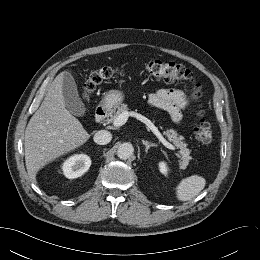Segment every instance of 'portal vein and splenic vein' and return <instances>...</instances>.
I'll return each mask as SVG.
<instances>
[{
	"mask_svg": "<svg viewBox=\"0 0 260 260\" xmlns=\"http://www.w3.org/2000/svg\"><path fill=\"white\" fill-rule=\"evenodd\" d=\"M129 116H134L136 117L138 120H140L141 122H143L144 124H146V126L157 136V138L161 141V143L167 147L168 149L171 150H175V147L170 144L168 141H166L164 139V137L161 135V133L158 131L157 127L145 116L135 113V112H128L125 111L123 113H121L114 121H113V125L115 127H120L122 125H124Z\"/></svg>",
	"mask_w": 260,
	"mask_h": 260,
	"instance_id": "18ae733b",
	"label": "portal vein and splenic vein"
}]
</instances>
